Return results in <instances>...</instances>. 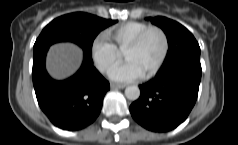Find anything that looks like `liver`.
Returning a JSON list of instances; mask_svg holds the SVG:
<instances>
[{"mask_svg": "<svg viewBox=\"0 0 238 145\" xmlns=\"http://www.w3.org/2000/svg\"><path fill=\"white\" fill-rule=\"evenodd\" d=\"M82 62V50L72 43H58L51 46L46 68L55 79H64L76 72Z\"/></svg>", "mask_w": 238, "mask_h": 145, "instance_id": "1", "label": "liver"}]
</instances>
